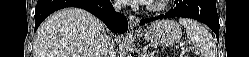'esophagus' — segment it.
Segmentation results:
<instances>
[{"mask_svg": "<svg viewBox=\"0 0 249 57\" xmlns=\"http://www.w3.org/2000/svg\"><path fill=\"white\" fill-rule=\"evenodd\" d=\"M139 23V18L134 16V15H130L129 16V27L131 30L135 29L136 26L138 25Z\"/></svg>", "mask_w": 249, "mask_h": 57, "instance_id": "1", "label": "esophagus"}]
</instances>
